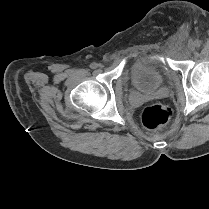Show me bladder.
Instances as JSON below:
<instances>
[{
    "instance_id": "31cf9c89",
    "label": "bladder",
    "mask_w": 209,
    "mask_h": 209,
    "mask_svg": "<svg viewBox=\"0 0 209 209\" xmlns=\"http://www.w3.org/2000/svg\"><path fill=\"white\" fill-rule=\"evenodd\" d=\"M129 76L133 87L144 94L156 92L166 78L163 64L156 59L135 62L130 67Z\"/></svg>"
}]
</instances>
